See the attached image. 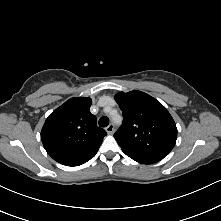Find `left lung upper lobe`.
I'll return each instance as SVG.
<instances>
[{"label":"left lung upper lobe","mask_w":221,"mask_h":221,"mask_svg":"<svg viewBox=\"0 0 221 221\" xmlns=\"http://www.w3.org/2000/svg\"><path fill=\"white\" fill-rule=\"evenodd\" d=\"M123 124L114 134L122 151L163 159L177 139L176 124L167 109L150 95L134 90L115 95Z\"/></svg>","instance_id":"left-lung-upper-lobe-1"}]
</instances>
